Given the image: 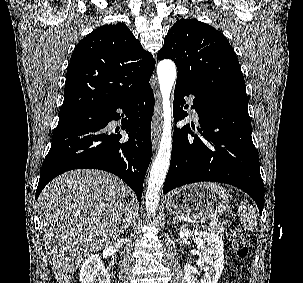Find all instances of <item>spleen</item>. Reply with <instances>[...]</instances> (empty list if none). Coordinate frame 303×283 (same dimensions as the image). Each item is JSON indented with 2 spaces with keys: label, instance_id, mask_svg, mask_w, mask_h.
<instances>
[{
  "label": "spleen",
  "instance_id": "1",
  "mask_svg": "<svg viewBox=\"0 0 303 283\" xmlns=\"http://www.w3.org/2000/svg\"><path fill=\"white\" fill-rule=\"evenodd\" d=\"M238 215L240 217L243 228L248 231H253L257 227L256 211L248 200L241 201L238 206Z\"/></svg>",
  "mask_w": 303,
  "mask_h": 283
}]
</instances>
